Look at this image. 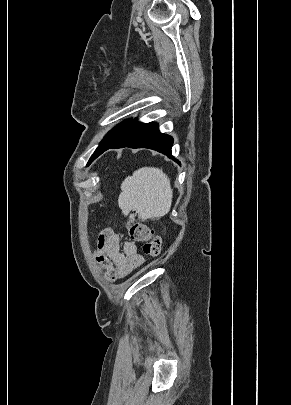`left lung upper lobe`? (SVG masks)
<instances>
[{"label":"left lung upper lobe","instance_id":"obj_1","mask_svg":"<svg viewBox=\"0 0 291 405\" xmlns=\"http://www.w3.org/2000/svg\"><path fill=\"white\" fill-rule=\"evenodd\" d=\"M131 120H126L123 123L119 124L118 126L114 127L102 140V142L99 144L97 147L96 151L92 155V157L89 160V163H91L94 160L95 154L101 150L102 148H105L108 145H111L113 142H115L127 129L129 126Z\"/></svg>","mask_w":291,"mask_h":405}]
</instances>
